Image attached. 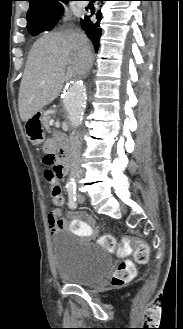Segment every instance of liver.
<instances>
[{
	"label": "liver",
	"mask_w": 183,
	"mask_h": 329,
	"mask_svg": "<svg viewBox=\"0 0 183 329\" xmlns=\"http://www.w3.org/2000/svg\"><path fill=\"white\" fill-rule=\"evenodd\" d=\"M84 48L92 50L87 36L79 31L48 33L34 43L19 88L18 107L23 122L51 103L65 81L83 75L79 53Z\"/></svg>",
	"instance_id": "liver-1"
}]
</instances>
